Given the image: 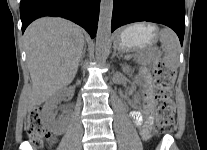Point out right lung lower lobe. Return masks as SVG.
<instances>
[{"mask_svg": "<svg viewBox=\"0 0 207 150\" xmlns=\"http://www.w3.org/2000/svg\"><path fill=\"white\" fill-rule=\"evenodd\" d=\"M100 0H21L22 32L35 19L56 16L82 26L92 38L97 30Z\"/></svg>", "mask_w": 207, "mask_h": 150, "instance_id": "98d812e1", "label": "right lung lower lobe"}]
</instances>
